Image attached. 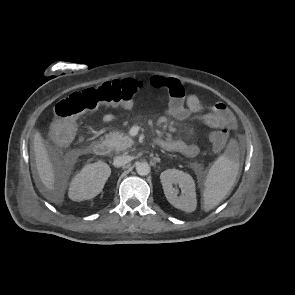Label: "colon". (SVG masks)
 Instances as JSON below:
<instances>
[{
  "mask_svg": "<svg viewBox=\"0 0 295 295\" xmlns=\"http://www.w3.org/2000/svg\"><path fill=\"white\" fill-rule=\"evenodd\" d=\"M143 85L134 79H121L105 82L70 94L56 105V119L51 127L52 139L60 144H68L76 131V119L82 114L102 106L122 107L133 101ZM213 147L221 150L228 141L224 129L210 134Z\"/></svg>",
  "mask_w": 295,
  "mask_h": 295,
  "instance_id": "1",
  "label": "colon"
}]
</instances>
